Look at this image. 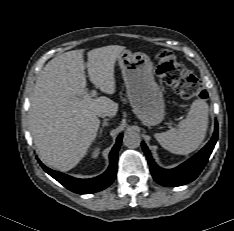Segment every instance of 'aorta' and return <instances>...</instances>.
<instances>
[{
    "label": "aorta",
    "instance_id": "obj_1",
    "mask_svg": "<svg viewBox=\"0 0 234 231\" xmlns=\"http://www.w3.org/2000/svg\"><path fill=\"white\" fill-rule=\"evenodd\" d=\"M123 143L126 147L134 149L140 146V134L134 130H127L123 137Z\"/></svg>",
    "mask_w": 234,
    "mask_h": 231
}]
</instances>
